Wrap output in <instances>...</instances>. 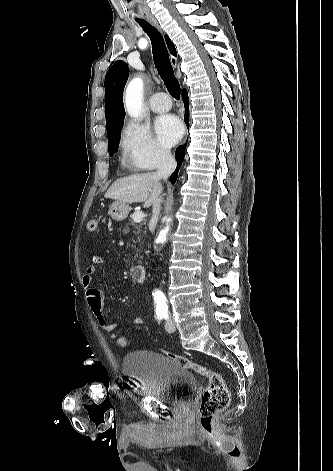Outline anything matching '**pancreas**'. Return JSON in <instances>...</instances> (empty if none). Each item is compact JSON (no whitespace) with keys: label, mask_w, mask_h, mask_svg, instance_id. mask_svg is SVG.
<instances>
[{"label":"pancreas","mask_w":333,"mask_h":471,"mask_svg":"<svg viewBox=\"0 0 333 471\" xmlns=\"http://www.w3.org/2000/svg\"><path fill=\"white\" fill-rule=\"evenodd\" d=\"M129 225H131V226H133V227L135 228V230L133 231V233H134L135 235L139 234V232H140V226L134 225L131 221H129V223L123 228V230H122V233H123V234H127V233L130 232V227H129ZM134 242H135V241H134Z\"/></svg>","instance_id":"cf45deb5"}]
</instances>
